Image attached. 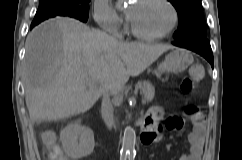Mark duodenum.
Segmentation results:
<instances>
[{
	"mask_svg": "<svg viewBox=\"0 0 242 160\" xmlns=\"http://www.w3.org/2000/svg\"><path fill=\"white\" fill-rule=\"evenodd\" d=\"M144 119L143 118H141V119H139V120H137L136 122H135V126L136 127H139V128H143V126H144Z\"/></svg>",
	"mask_w": 242,
	"mask_h": 160,
	"instance_id": "410a0bca",
	"label": "duodenum"
}]
</instances>
